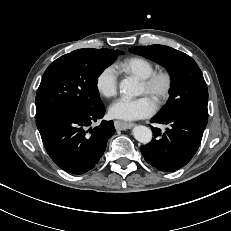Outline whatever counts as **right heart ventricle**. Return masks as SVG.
<instances>
[{"mask_svg":"<svg viewBox=\"0 0 231 231\" xmlns=\"http://www.w3.org/2000/svg\"><path fill=\"white\" fill-rule=\"evenodd\" d=\"M116 68L121 72L134 75L142 80L154 71L155 66L153 62L147 58L132 56L117 63Z\"/></svg>","mask_w":231,"mask_h":231,"instance_id":"right-heart-ventricle-1","label":"right heart ventricle"}]
</instances>
